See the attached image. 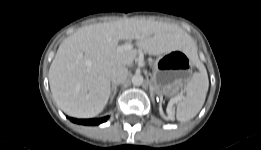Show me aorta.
I'll return each mask as SVG.
<instances>
[{"instance_id":"762f6f07","label":"aorta","mask_w":261,"mask_h":150,"mask_svg":"<svg viewBox=\"0 0 261 150\" xmlns=\"http://www.w3.org/2000/svg\"><path fill=\"white\" fill-rule=\"evenodd\" d=\"M143 83V76L140 75V74H135L133 77H132V84L134 86H140L142 85Z\"/></svg>"}]
</instances>
